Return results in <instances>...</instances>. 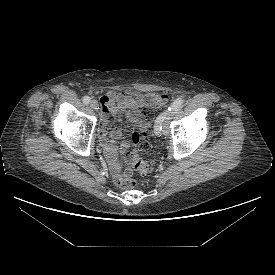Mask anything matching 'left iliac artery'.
<instances>
[{"mask_svg":"<svg viewBox=\"0 0 275 275\" xmlns=\"http://www.w3.org/2000/svg\"><path fill=\"white\" fill-rule=\"evenodd\" d=\"M184 104V101L182 98H177L172 104L171 106L168 108L169 111L173 112L177 111L178 109H180ZM163 115L161 114L155 121V125H154V132L156 135L161 134L162 131V122H163ZM161 136V135H160Z\"/></svg>","mask_w":275,"mask_h":275,"instance_id":"44dca946","label":"left iliac artery"}]
</instances>
